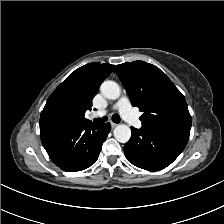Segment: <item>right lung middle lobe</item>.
I'll return each mask as SVG.
<instances>
[{"label":"right lung middle lobe","mask_w":224,"mask_h":224,"mask_svg":"<svg viewBox=\"0 0 224 224\" xmlns=\"http://www.w3.org/2000/svg\"><path fill=\"white\" fill-rule=\"evenodd\" d=\"M41 117H49L65 121L72 120L71 113L67 105L58 101L46 106L41 113Z\"/></svg>","instance_id":"obj_1"}]
</instances>
